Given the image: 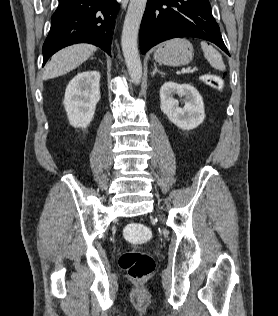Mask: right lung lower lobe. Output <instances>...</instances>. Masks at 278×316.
Wrapping results in <instances>:
<instances>
[{"mask_svg":"<svg viewBox=\"0 0 278 316\" xmlns=\"http://www.w3.org/2000/svg\"><path fill=\"white\" fill-rule=\"evenodd\" d=\"M116 0H59L43 45V65L58 50L76 43H90L111 54Z\"/></svg>","mask_w":278,"mask_h":316,"instance_id":"right-lung-lower-lobe-1","label":"right lung lower lobe"}]
</instances>
